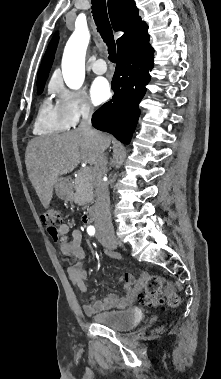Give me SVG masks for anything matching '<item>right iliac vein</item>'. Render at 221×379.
I'll return each instance as SVG.
<instances>
[{"instance_id": "1", "label": "right iliac vein", "mask_w": 221, "mask_h": 379, "mask_svg": "<svg viewBox=\"0 0 221 379\" xmlns=\"http://www.w3.org/2000/svg\"><path fill=\"white\" fill-rule=\"evenodd\" d=\"M107 242L111 243V244H119V245H122V243L115 237H109L108 239H106Z\"/></svg>"}]
</instances>
